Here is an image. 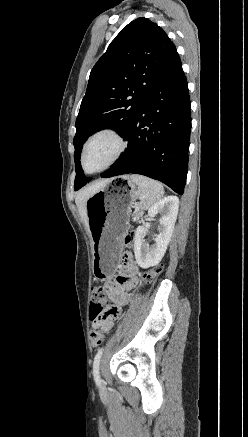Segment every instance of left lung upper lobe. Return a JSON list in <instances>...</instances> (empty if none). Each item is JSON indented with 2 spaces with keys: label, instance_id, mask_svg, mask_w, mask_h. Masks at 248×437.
I'll return each instance as SVG.
<instances>
[{
  "label": "left lung upper lobe",
  "instance_id": "1",
  "mask_svg": "<svg viewBox=\"0 0 248 437\" xmlns=\"http://www.w3.org/2000/svg\"><path fill=\"white\" fill-rule=\"evenodd\" d=\"M178 53L167 34L140 17L126 25L91 70L76 119L74 190L86 184L80 164L85 140L105 124L123 138L130 131L144 99L169 70Z\"/></svg>",
  "mask_w": 248,
  "mask_h": 437
}]
</instances>
